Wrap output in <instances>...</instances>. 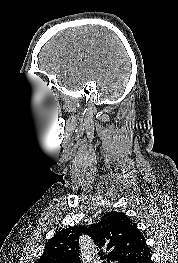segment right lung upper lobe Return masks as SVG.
Listing matches in <instances>:
<instances>
[{
  "label": "right lung upper lobe",
  "instance_id": "1",
  "mask_svg": "<svg viewBox=\"0 0 178 263\" xmlns=\"http://www.w3.org/2000/svg\"><path fill=\"white\" fill-rule=\"evenodd\" d=\"M85 233L102 248L98 255L111 263H137L148 252L137 225L122 212L105 214L97 224L74 226L57 233L45 246L38 263H81L79 237Z\"/></svg>",
  "mask_w": 178,
  "mask_h": 263
}]
</instances>
